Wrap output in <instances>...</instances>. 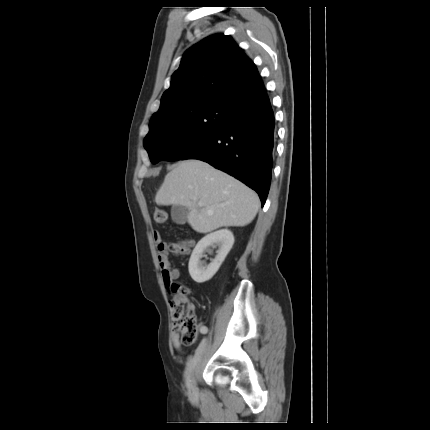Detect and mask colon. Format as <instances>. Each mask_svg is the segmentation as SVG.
I'll list each match as a JSON object with an SVG mask.
<instances>
[{
  "instance_id": "colon-1",
  "label": "colon",
  "mask_w": 430,
  "mask_h": 430,
  "mask_svg": "<svg viewBox=\"0 0 430 430\" xmlns=\"http://www.w3.org/2000/svg\"><path fill=\"white\" fill-rule=\"evenodd\" d=\"M154 220L159 224L165 223L167 221V213L162 209H156ZM166 250L173 254H183L188 250V244L186 242L174 243L161 252H165ZM170 291L173 293L170 301L173 329L177 332L184 345H190L197 337L198 326L193 305L189 302L187 296L188 291L185 286L176 281L173 289Z\"/></svg>"
}]
</instances>
